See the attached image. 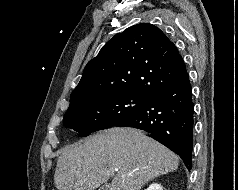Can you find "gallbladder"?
Returning <instances> with one entry per match:
<instances>
[{
  "instance_id": "obj_1",
  "label": "gallbladder",
  "mask_w": 238,
  "mask_h": 190,
  "mask_svg": "<svg viewBox=\"0 0 238 190\" xmlns=\"http://www.w3.org/2000/svg\"><path fill=\"white\" fill-rule=\"evenodd\" d=\"M99 190H110V185L105 183L99 188Z\"/></svg>"
}]
</instances>
